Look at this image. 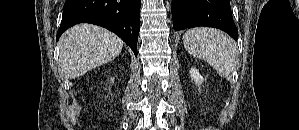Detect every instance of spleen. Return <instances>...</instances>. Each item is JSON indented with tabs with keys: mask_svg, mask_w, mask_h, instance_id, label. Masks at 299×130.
<instances>
[{
	"mask_svg": "<svg viewBox=\"0 0 299 130\" xmlns=\"http://www.w3.org/2000/svg\"><path fill=\"white\" fill-rule=\"evenodd\" d=\"M183 44L189 54L205 60L222 78H230L237 48L227 34L214 28H192L183 35Z\"/></svg>",
	"mask_w": 299,
	"mask_h": 130,
	"instance_id": "obj_1",
	"label": "spleen"
}]
</instances>
